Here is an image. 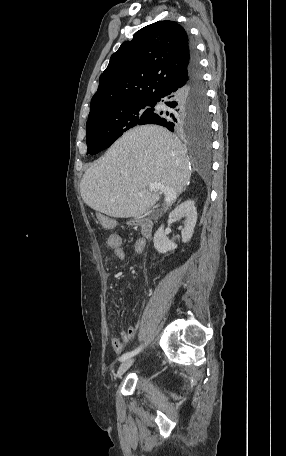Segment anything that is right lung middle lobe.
<instances>
[{"instance_id": "dd1d6c3e", "label": "right lung middle lobe", "mask_w": 286, "mask_h": 456, "mask_svg": "<svg viewBox=\"0 0 286 456\" xmlns=\"http://www.w3.org/2000/svg\"><path fill=\"white\" fill-rule=\"evenodd\" d=\"M154 113V100L121 102L100 110L86 123L88 154L110 147L128 129L147 124ZM195 130L208 131V122Z\"/></svg>"}]
</instances>
